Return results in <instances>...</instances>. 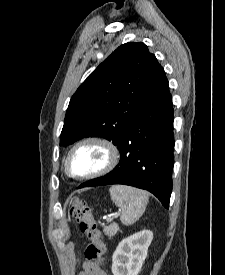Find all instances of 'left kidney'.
<instances>
[{"label": "left kidney", "mask_w": 225, "mask_h": 275, "mask_svg": "<svg viewBox=\"0 0 225 275\" xmlns=\"http://www.w3.org/2000/svg\"><path fill=\"white\" fill-rule=\"evenodd\" d=\"M153 233L143 230L123 239L112 257L113 275H138L147 257Z\"/></svg>", "instance_id": "5707ae66"}]
</instances>
